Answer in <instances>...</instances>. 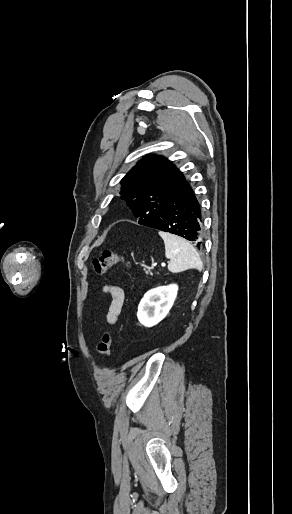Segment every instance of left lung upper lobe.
<instances>
[{
    "label": "left lung upper lobe",
    "mask_w": 292,
    "mask_h": 514,
    "mask_svg": "<svg viewBox=\"0 0 292 514\" xmlns=\"http://www.w3.org/2000/svg\"><path fill=\"white\" fill-rule=\"evenodd\" d=\"M185 181L183 173L167 158L147 155L121 180V199L132 209L138 223L146 225L160 214Z\"/></svg>",
    "instance_id": "obj_1"
}]
</instances>
